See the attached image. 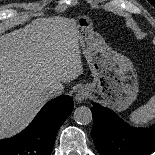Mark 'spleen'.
Wrapping results in <instances>:
<instances>
[{
    "label": "spleen",
    "instance_id": "3e777b00",
    "mask_svg": "<svg viewBox=\"0 0 155 155\" xmlns=\"http://www.w3.org/2000/svg\"><path fill=\"white\" fill-rule=\"evenodd\" d=\"M155 118V95L143 106L131 113L129 120L135 125H146Z\"/></svg>",
    "mask_w": 155,
    "mask_h": 155
}]
</instances>
